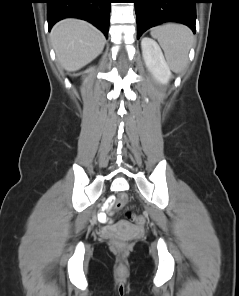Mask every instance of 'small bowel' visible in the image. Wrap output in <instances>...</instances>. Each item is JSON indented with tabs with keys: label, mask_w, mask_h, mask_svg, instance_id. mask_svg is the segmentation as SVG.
Instances as JSON below:
<instances>
[{
	"label": "small bowel",
	"mask_w": 239,
	"mask_h": 296,
	"mask_svg": "<svg viewBox=\"0 0 239 296\" xmlns=\"http://www.w3.org/2000/svg\"><path fill=\"white\" fill-rule=\"evenodd\" d=\"M107 215H111V207L110 206H107L106 213H101L100 217L107 220L108 219Z\"/></svg>",
	"instance_id": "obj_1"
}]
</instances>
